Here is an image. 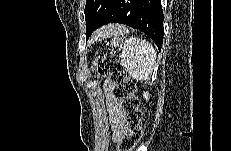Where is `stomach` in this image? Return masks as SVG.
<instances>
[{"mask_svg": "<svg viewBox=\"0 0 231 151\" xmlns=\"http://www.w3.org/2000/svg\"><path fill=\"white\" fill-rule=\"evenodd\" d=\"M121 45H122V43H121V39L119 38V37H114L111 41H110V46L112 47V48H120L121 47Z\"/></svg>", "mask_w": 231, "mask_h": 151, "instance_id": "0dacf381", "label": "stomach"}]
</instances>
